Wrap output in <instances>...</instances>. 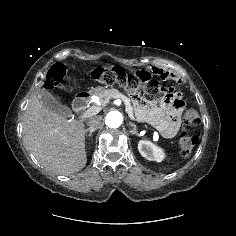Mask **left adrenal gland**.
Here are the masks:
<instances>
[{
	"mask_svg": "<svg viewBox=\"0 0 236 236\" xmlns=\"http://www.w3.org/2000/svg\"><path fill=\"white\" fill-rule=\"evenodd\" d=\"M130 126L133 127V129L130 131L132 135L140 136L139 133L137 132L136 125L133 123H130Z\"/></svg>",
	"mask_w": 236,
	"mask_h": 236,
	"instance_id": "left-adrenal-gland-1",
	"label": "left adrenal gland"
}]
</instances>
